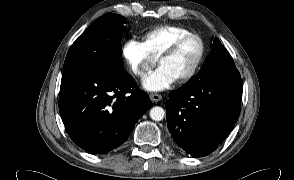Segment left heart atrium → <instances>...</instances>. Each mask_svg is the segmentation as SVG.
Masks as SVG:
<instances>
[{
  "label": "left heart atrium",
  "instance_id": "left-heart-atrium-1",
  "mask_svg": "<svg viewBox=\"0 0 294 180\" xmlns=\"http://www.w3.org/2000/svg\"><path fill=\"white\" fill-rule=\"evenodd\" d=\"M176 82L175 77L163 66L145 76L142 85L149 91H162L168 89Z\"/></svg>",
  "mask_w": 294,
  "mask_h": 180
}]
</instances>
